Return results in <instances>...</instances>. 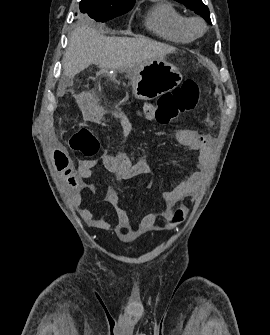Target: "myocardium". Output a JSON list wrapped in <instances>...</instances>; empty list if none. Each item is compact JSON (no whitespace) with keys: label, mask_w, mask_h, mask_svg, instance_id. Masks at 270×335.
I'll return each instance as SVG.
<instances>
[{"label":"myocardium","mask_w":270,"mask_h":335,"mask_svg":"<svg viewBox=\"0 0 270 335\" xmlns=\"http://www.w3.org/2000/svg\"><path fill=\"white\" fill-rule=\"evenodd\" d=\"M188 26L195 35H202L206 29L204 22L199 18H191L188 20Z\"/></svg>","instance_id":"f54148a6"}]
</instances>
